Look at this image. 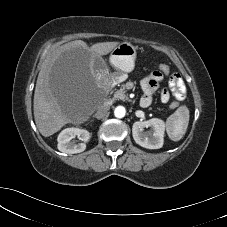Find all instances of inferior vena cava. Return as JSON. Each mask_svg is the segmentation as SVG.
<instances>
[{"label": "inferior vena cava", "mask_w": 227, "mask_h": 227, "mask_svg": "<svg viewBox=\"0 0 227 227\" xmlns=\"http://www.w3.org/2000/svg\"><path fill=\"white\" fill-rule=\"evenodd\" d=\"M108 110H109V107L108 106H105V105L101 106L98 109V111L96 112L95 117L97 119L103 118L107 114Z\"/></svg>", "instance_id": "inferior-vena-cava-1"}]
</instances>
